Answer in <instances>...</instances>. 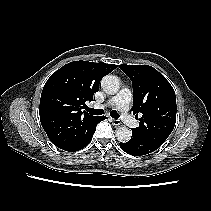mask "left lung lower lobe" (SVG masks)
I'll return each instance as SVG.
<instances>
[{
  "instance_id": "1",
  "label": "left lung lower lobe",
  "mask_w": 211,
  "mask_h": 211,
  "mask_svg": "<svg viewBox=\"0 0 211 211\" xmlns=\"http://www.w3.org/2000/svg\"><path fill=\"white\" fill-rule=\"evenodd\" d=\"M120 147L130 155L141 156L155 151L160 146L143 137L132 134V138L126 143H120Z\"/></svg>"
}]
</instances>
